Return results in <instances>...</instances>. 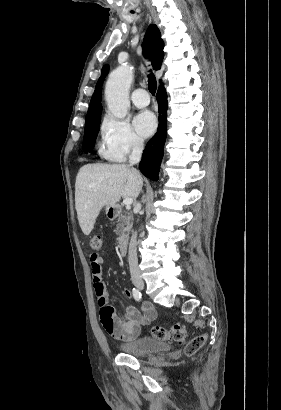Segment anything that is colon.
Masks as SVG:
<instances>
[{"mask_svg": "<svg viewBox=\"0 0 281 410\" xmlns=\"http://www.w3.org/2000/svg\"><path fill=\"white\" fill-rule=\"evenodd\" d=\"M91 248L93 250L99 251L103 247V242L100 236H94L91 239ZM103 326L106 329L112 328V322L110 317L112 315L111 310H103ZM151 334L154 338L164 341V342H176V343H183L186 341L187 331L183 325L174 324L169 327L163 326H153L151 329ZM206 335L199 334L189 340L185 345V354L188 356H192L197 353L205 344L206 342Z\"/></svg>", "mask_w": 281, "mask_h": 410, "instance_id": "obj_1", "label": "colon"}]
</instances>
